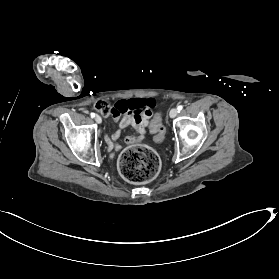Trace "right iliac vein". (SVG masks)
Listing matches in <instances>:
<instances>
[{"label": "right iliac vein", "mask_w": 279, "mask_h": 279, "mask_svg": "<svg viewBox=\"0 0 279 279\" xmlns=\"http://www.w3.org/2000/svg\"><path fill=\"white\" fill-rule=\"evenodd\" d=\"M95 121L100 124L102 122V118L99 115L95 116Z\"/></svg>", "instance_id": "1"}]
</instances>
